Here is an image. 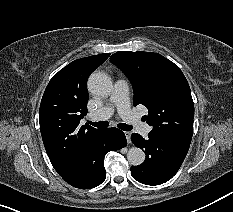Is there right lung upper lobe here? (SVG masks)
Segmentation results:
<instances>
[{"label":"right lung upper lobe","instance_id":"right-lung-upper-lobe-1","mask_svg":"<svg viewBox=\"0 0 233 212\" xmlns=\"http://www.w3.org/2000/svg\"><path fill=\"white\" fill-rule=\"evenodd\" d=\"M110 53L75 60L55 74L43 94L39 123L48 157L60 176L75 169L85 159L99 132L79 126L87 114L88 76Z\"/></svg>","mask_w":233,"mask_h":212}]
</instances>
